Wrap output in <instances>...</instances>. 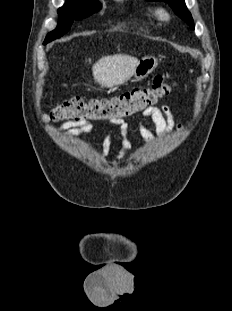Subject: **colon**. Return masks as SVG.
<instances>
[{
    "mask_svg": "<svg viewBox=\"0 0 232 311\" xmlns=\"http://www.w3.org/2000/svg\"><path fill=\"white\" fill-rule=\"evenodd\" d=\"M170 90L168 74H160L153 78L149 86L135 88L113 98L67 99L51 109L46 115V120L48 122L119 121L152 107Z\"/></svg>",
    "mask_w": 232,
    "mask_h": 311,
    "instance_id": "5ec220e1",
    "label": "colon"
}]
</instances>
